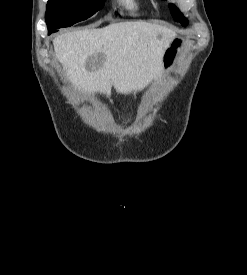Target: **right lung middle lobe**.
I'll use <instances>...</instances> for the list:
<instances>
[{
  "instance_id": "1",
  "label": "right lung middle lobe",
  "mask_w": 247,
  "mask_h": 275,
  "mask_svg": "<svg viewBox=\"0 0 247 275\" xmlns=\"http://www.w3.org/2000/svg\"><path fill=\"white\" fill-rule=\"evenodd\" d=\"M104 2L105 0H49L45 15L48 33L91 17L104 6Z\"/></svg>"
}]
</instances>
